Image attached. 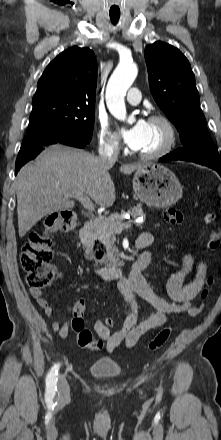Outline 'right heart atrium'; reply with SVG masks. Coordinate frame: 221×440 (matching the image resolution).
<instances>
[{
  "label": "right heart atrium",
  "instance_id": "right-heart-atrium-1",
  "mask_svg": "<svg viewBox=\"0 0 221 440\" xmlns=\"http://www.w3.org/2000/svg\"><path fill=\"white\" fill-rule=\"evenodd\" d=\"M96 125L100 148L106 153H117L121 148L119 135L110 127L104 117H99Z\"/></svg>",
  "mask_w": 221,
  "mask_h": 440
}]
</instances>
